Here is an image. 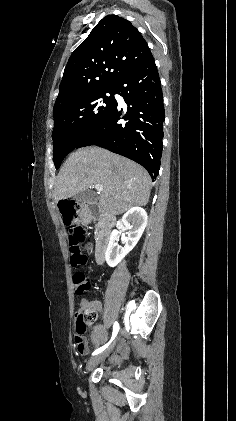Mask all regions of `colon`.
Here are the masks:
<instances>
[{"label": "colon", "mask_w": 236, "mask_h": 421, "mask_svg": "<svg viewBox=\"0 0 236 421\" xmlns=\"http://www.w3.org/2000/svg\"><path fill=\"white\" fill-rule=\"evenodd\" d=\"M64 215V223L69 235L70 262L73 267H83L86 264L87 257L82 243L85 241V230L77 223L76 210L69 205L62 207ZM73 283L77 295H82L91 287L90 278L82 271L77 270L73 275ZM97 318L96 309L90 305H82L76 315L75 345L77 351L81 355H85L88 351L87 342L84 334L88 328L95 322Z\"/></svg>", "instance_id": "1"}]
</instances>
